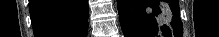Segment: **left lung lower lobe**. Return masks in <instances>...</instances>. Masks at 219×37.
<instances>
[{"label":"left lung lower lobe","instance_id":"1","mask_svg":"<svg viewBox=\"0 0 219 37\" xmlns=\"http://www.w3.org/2000/svg\"><path fill=\"white\" fill-rule=\"evenodd\" d=\"M125 37H182L178 0H117Z\"/></svg>","mask_w":219,"mask_h":37}]
</instances>
